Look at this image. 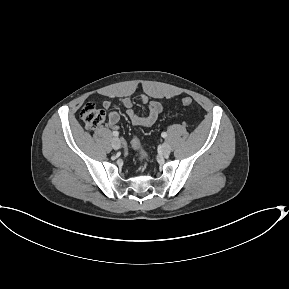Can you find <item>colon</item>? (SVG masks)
Here are the masks:
<instances>
[{"label": "colon", "instance_id": "colon-1", "mask_svg": "<svg viewBox=\"0 0 289 289\" xmlns=\"http://www.w3.org/2000/svg\"><path fill=\"white\" fill-rule=\"evenodd\" d=\"M193 103L190 97H185L182 100V104L185 107L191 106ZM80 117L87 129H95L99 127L105 120V113L103 110L96 107L93 103H87L83 106ZM132 146L135 150L141 153L142 157H145V153L142 151L140 142L137 138L132 140Z\"/></svg>", "mask_w": 289, "mask_h": 289}]
</instances>
